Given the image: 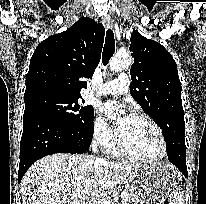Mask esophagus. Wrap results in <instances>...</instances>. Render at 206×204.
<instances>
[{"label":"esophagus","mask_w":206,"mask_h":204,"mask_svg":"<svg viewBox=\"0 0 206 204\" xmlns=\"http://www.w3.org/2000/svg\"><path fill=\"white\" fill-rule=\"evenodd\" d=\"M102 22L108 27H112V19L109 15H105L102 17Z\"/></svg>","instance_id":"1"}]
</instances>
